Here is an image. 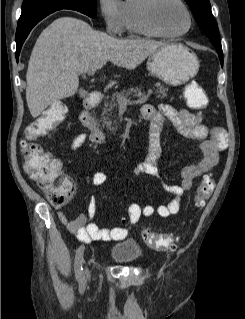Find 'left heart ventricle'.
<instances>
[{
	"instance_id": "left-heart-ventricle-1",
	"label": "left heart ventricle",
	"mask_w": 245,
	"mask_h": 319,
	"mask_svg": "<svg viewBox=\"0 0 245 319\" xmlns=\"http://www.w3.org/2000/svg\"><path fill=\"white\" fill-rule=\"evenodd\" d=\"M155 18L168 32H181L188 25L184 9L174 0H160L155 8Z\"/></svg>"
}]
</instances>
